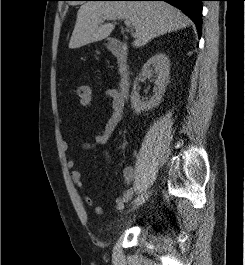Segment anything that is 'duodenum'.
Instances as JSON below:
<instances>
[{
  "label": "duodenum",
  "mask_w": 245,
  "mask_h": 265,
  "mask_svg": "<svg viewBox=\"0 0 245 265\" xmlns=\"http://www.w3.org/2000/svg\"><path fill=\"white\" fill-rule=\"evenodd\" d=\"M108 49L117 61L119 93L126 97L130 89V70L126 45L118 39H112L108 44Z\"/></svg>",
  "instance_id": "410a0bca"
}]
</instances>
